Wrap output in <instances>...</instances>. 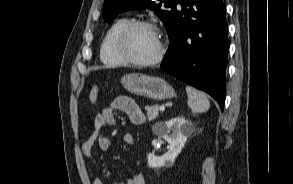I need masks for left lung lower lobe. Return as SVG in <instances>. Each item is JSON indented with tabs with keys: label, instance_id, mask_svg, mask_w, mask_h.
Listing matches in <instances>:
<instances>
[{
	"label": "left lung lower lobe",
	"instance_id": "obj_1",
	"mask_svg": "<svg viewBox=\"0 0 293 184\" xmlns=\"http://www.w3.org/2000/svg\"><path fill=\"white\" fill-rule=\"evenodd\" d=\"M167 30L170 45L161 68L211 95L221 110L229 50L222 0H179Z\"/></svg>",
	"mask_w": 293,
	"mask_h": 184
}]
</instances>
